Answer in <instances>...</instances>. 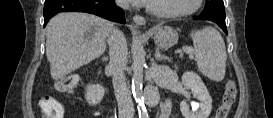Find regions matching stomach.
Returning a JSON list of instances; mask_svg holds the SVG:
<instances>
[{
  "instance_id": "1",
  "label": "stomach",
  "mask_w": 273,
  "mask_h": 118,
  "mask_svg": "<svg viewBox=\"0 0 273 118\" xmlns=\"http://www.w3.org/2000/svg\"><path fill=\"white\" fill-rule=\"evenodd\" d=\"M154 41L160 48H170L178 42V33L169 26H158L153 29Z\"/></svg>"
}]
</instances>
